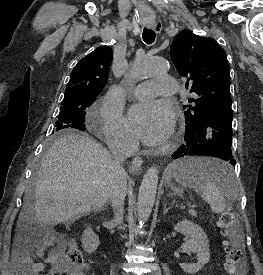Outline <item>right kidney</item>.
I'll return each mask as SVG.
<instances>
[{
    "instance_id": "ca27d5eb",
    "label": "right kidney",
    "mask_w": 263,
    "mask_h": 275,
    "mask_svg": "<svg viewBox=\"0 0 263 275\" xmlns=\"http://www.w3.org/2000/svg\"><path fill=\"white\" fill-rule=\"evenodd\" d=\"M99 237L88 227L82 235V246L87 253H93L99 246Z\"/></svg>"
}]
</instances>
